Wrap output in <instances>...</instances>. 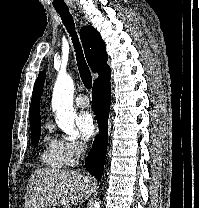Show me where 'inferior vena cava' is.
<instances>
[{"label": "inferior vena cava", "mask_w": 199, "mask_h": 208, "mask_svg": "<svg viewBox=\"0 0 199 208\" xmlns=\"http://www.w3.org/2000/svg\"><path fill=\"white\" fill-rule=\"evenodd\" d=\"M80 151L82 152V153H84V147L81 145L80 146Z\"/></svg>", "instance_id": "obj_1"}]
</instances>
